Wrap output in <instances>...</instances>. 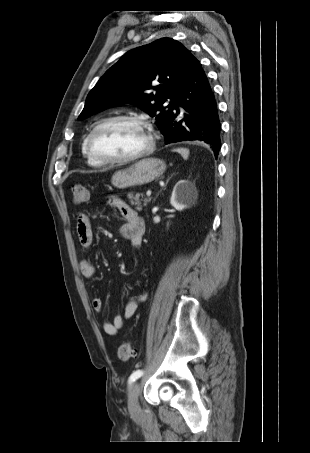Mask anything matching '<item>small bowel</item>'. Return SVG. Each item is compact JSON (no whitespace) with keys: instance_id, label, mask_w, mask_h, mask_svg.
Segmentation results:
<instances>
[{"instance_id":"obj_1","label":"small bowel","mask_w":310,"mask_h":453,"mask_svg":"<svg viewBox=\"0 0 310 453\" xmlns=\"http://www.w3.org/2000/svg\"><path fill=\"white\" fill-rule=\"evenodd\" d=\"M111 204L115 206L124 217V223L120 229L122 236L130 242L134 249H138L141 246L142 237L145 231L144 220L134 209L120 199H112ZM76 232L82 250L88 252L93 244V232L90 219L84 212H80L77 215ZM79 267L85 278H95L96 270L91 261L83 259L81 260ZM146 299V293L130 297L125 305L124 313L122 315H116L112 322L104 323L103 329L105 333L111 336L115 335L124 326L125 321L134 316L138 304L144 302ZM92 307L96 312H101L103 309L102 300L100 298H94L92 300Z\"/></svg>"}]
</instances>
